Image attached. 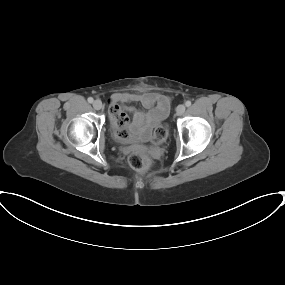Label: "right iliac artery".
Segmentation results:
<instances>
[{"mask_svg":"<svg viewBox=\"0 0 285 285\" xmlns=\"http://www.w3.org/2000/svg\"><path fill=\"white\" fill-rule=\"evenodd\" d=\"M93 101H94V100H93L92 97H89V98H88V102H89V103H93Z\"/></svg>","mask_w":285,"mask_h":285,"instance_id":"1","label":"right iliac artery"}]
</instances>
